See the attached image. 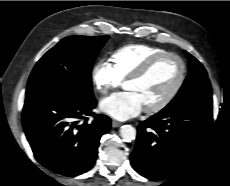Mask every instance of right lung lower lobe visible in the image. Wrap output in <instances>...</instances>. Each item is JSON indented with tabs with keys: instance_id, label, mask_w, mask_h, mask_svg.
<instances>
[{
	"instance_id": "1",
	"label": "right lung lower lobe",
	"mask_w": 230,
	"mask_h": 186,
	"mask_svg": "<svg viewBox=\"0 0 230 186\" xmlns=\"http://www.w3.org/2000/svg\"><path fill=\"white\" fill-rule=\"evenodd\" d=\"M93 95L46 91L26 97L22 124L35 158L51 171L80 175L95 164L101 136L111 128L108 116L94 113ZM81 119H85L80 123Z\"/></svg>"
}]
</instances>
